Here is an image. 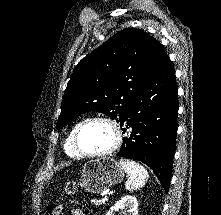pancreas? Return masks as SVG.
<instances>
[{
  "label": "pancreas",
  "instance_id": "pancreas-1",
  "mask_svg": "<svg viewBox=\"0 0 221 215\" xmlns=\"http://www.w3.org/2000/svg\"><path fill=\"white\" fill-rule=\"evenodd\" d=\"M107 200L104 199H93L91 202L96 205V206H100L106 203Z\"/></svg>",
  "mask_w": 221,
  "mask_h": 215
}]
</instances>
